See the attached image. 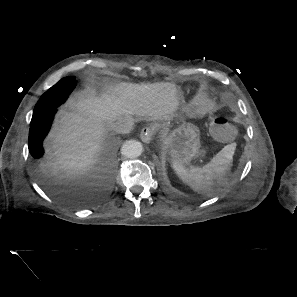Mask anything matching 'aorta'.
Wrapping results in <instances>:
<instances>
[{"mask_svg": "<svg viewBox=\"0 0 297 297\" xmlns=\"http://www.w3.org/2000/svg\"><path fill=\"white\" fill-rule=\"evenodd\" d=\"M142 143L136 140H128L121 147V154L126 158H135L142 154Z\"/></svg>", "mask_w": 297, "mask_h": 297, "instance_id": "1", "label": "aorta"}]
</instances>
